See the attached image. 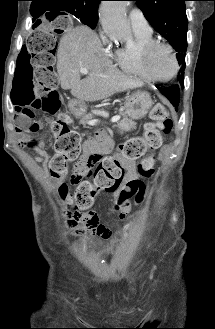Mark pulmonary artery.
<instances>
[{
	"label": "pulmonary artery",
	"mask_w": 215,
	"mask_h": 329,
	"mask_svg": "<svg viewBox=\"0 0 215 329\" xmlns=\"http://www.w3.org/2000/svg\"><path fill=\"white\" fill-rule=\"evenodd\" d=\"M129 21L134 32L151 33L152 29L139 8H133L129 12Z\"/></svg>",
	"instance_id": "obj_1"
}]
</instances>
